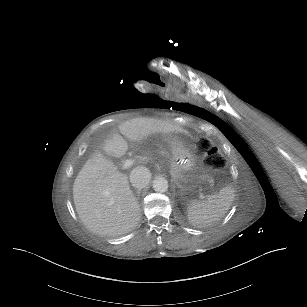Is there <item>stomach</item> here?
Instances as JSON below:
<instances>
[{
  "instance_id": "1",
  "label": "stomach",
  "mask_w": 307,
  "mask_h": 307,
  "mask_svg": "<svg viewBox=\"0 0 307 307\" xmlns=\"http://www.w3.org/2000/svg\"><path fill=\"white\" fill-rule=\"evenodd\" d=\"M174 177L181 183H193L196 175V146L188 137H176L172 144Z\"/></svg>"
}]
</instances>
